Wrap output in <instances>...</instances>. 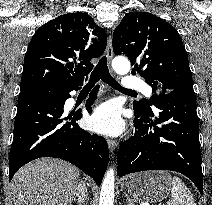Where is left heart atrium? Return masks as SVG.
Here are the masks:
<instances>
[{"label": "left heart atrium", "instance_id": "obj_1", "mask_svg": "<svg viewBox=\"0 0 212 205\" xmlns=\"http://www.w3.org/2000/svg\"><path fill=\"white\" fill-rule=\"evenodd\" d=\"M123 125L120 108L113 102L97 106L89 118V127L101 134L117 135Z\"/></svg>", "mask_w": 212, "mask_h": 205}]
</instances>
